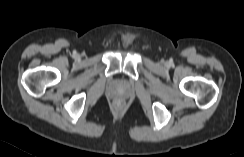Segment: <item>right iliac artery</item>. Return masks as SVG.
I'll return each mask as SVG.
<instances>
[{"label": "right iliac artery", "instance_id": "82829eb1", "mask_svg": "<svg viewBox=\"0 0 244 157\" xmlns=\"http://www.w3.org/2000/svg\"><path fill=\"white\" fill-rule=\"evenodd\" d=\"M73 55H74V56L76 55V52H75V51L73 52Z\"/></svg>", "mask_w": 244, "mask_h": 157}]
</instances>
